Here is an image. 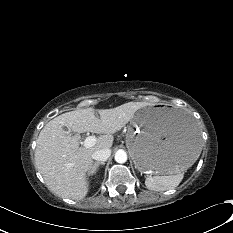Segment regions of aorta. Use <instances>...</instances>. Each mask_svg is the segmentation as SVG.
<instances>
[{"instance_id":"obj_1","label":"aorta","mask_w":233,"mask_h":233,"mask_svg":"<svg viewBox=\"0 0 233 233\" xmlns=\"http://www.w3.org/2000/svg\"><path fill=\"white\" fill-rule=\"evenodd\" d=\"M115 161L117 163H125L127 161V153L122 149L117 150L115 153Z\"/></svg>"}]
</instances>
